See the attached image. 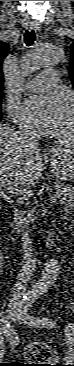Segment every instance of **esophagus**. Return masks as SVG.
<instances>
[{
  "label": "esophagus",
  "instance_id": "1",
  "mask_svg": "<svg viewBox=\"0 0 74 366\" xmlns=\"http://www.w3.org/2000/svg\"><path fill=\"white\" fill-rule=\"evenodd\" d=\"M27 27L30 29V30H35V31H38L39 30V26H38V23L35 22V21H32V22H29Z\"/></svg>",
  "mask_w": 74,
  "mask_h": 366
}]
</instances>
